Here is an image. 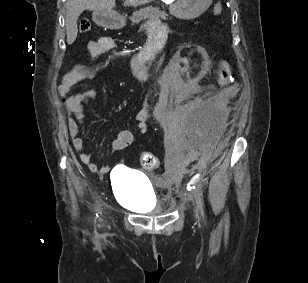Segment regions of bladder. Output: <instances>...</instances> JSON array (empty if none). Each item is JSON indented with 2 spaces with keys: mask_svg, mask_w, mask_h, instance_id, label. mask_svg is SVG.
<instances>
[{
  "mask_svg": "<svg viewBox=\"0 0 308 283\" xmlns=\"http://www.w3.org/2000/svg\"><path fill=\"white\" fill-rule=\"evenodd\" d=\"M113 194L123 206L144 214L161 212L149 178L136 170L118 166L110 174Z\"/></svg>",
  "mask_w": 308,
  "mask_h": 283,
  "instance_id": "bladder-1",
  "label": "bladder"
}]
</instances>
